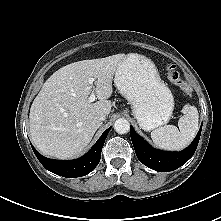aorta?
<instances>
[{"mask_svg":"<svg viewBox=\"0 0 221 221\" xmlns=\"http://www.w3.org/2000/svg\"><path fill=\"white\" fill-rule=\"evenodd\" d=\"M114 129L119 134L128 133L130 130V123L125 118H119L115 121Z\"/></svg>","mask_w":221,"mask_h":221,"instance_id":"obj_1","label":"aorta"}]
</instances>
